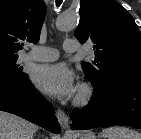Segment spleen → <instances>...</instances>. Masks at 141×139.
<instances>
[{"label":"spleen","mask_w":141,"mask_h":139,"mask_svg":"<svg viewBox=\"0 0 141 139\" xmlns=\"http://www.w3.org/2000/svg\"><path fill=\"white\" fill-rule=\"evenodd\" d=\"M99 139H141V133L126 127H109L100 132Z\"/></svg>","instance_id":"spleen-1"}]
</instances>
